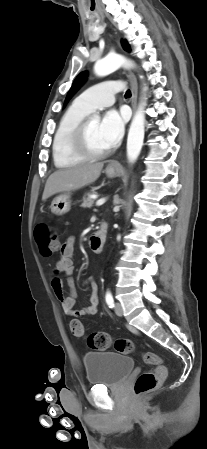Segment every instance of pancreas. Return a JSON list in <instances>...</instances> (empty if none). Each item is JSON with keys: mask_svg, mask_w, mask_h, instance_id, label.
<instances>
[{"mask_svg": "<svg viewBox=\"0 0 207 449\" xmlns=\"http://www.w3.org/2000/svg\"><path fill=\"white\" fill-rule=\"evenodd\" d=\"M94 199L91 197L84 198L83 203L81 204V207L83 208H91L93 206Z\"/></svg>", "mask_w": 207, "mask_h": 449, "instance_id": "cf45deb5", "label": "pancreas"}]
</instances>
